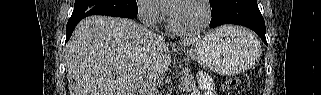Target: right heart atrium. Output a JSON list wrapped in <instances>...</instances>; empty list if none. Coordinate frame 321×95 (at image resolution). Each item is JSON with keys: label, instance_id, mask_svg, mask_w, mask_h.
<instances>
[{"label": "right heart atrium", "instance_id": "obj_1", "mask_svg": "<svg viewBox=\"0 0 321 95\" xmlns=\"http://www.w3.org/2000/svg\"><path fill=\"white\" fill-rule=\"evenodd\" d=\"M137 9L140 19L146 24H156L160 20V10L153 0H139Z\"/></svg>", "mask_w": 321, "mask_h": 95}]
</instances>
